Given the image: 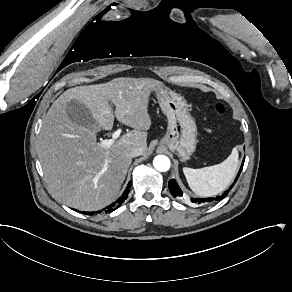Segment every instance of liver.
<instances>
[{
	"label": "liver",
	"instance_id": "obj_1",
	"mask_svg": "<svg viewBox=\"0 0 292 292\" xmlns=\"http://www.w3.org/2000/svg\"><path fill=\"white\" fill-rule=\"evenodd\" d=\"M159 84L151 78L120 77L68 89L54 101L42 121L38 143V157L53 197L81 211H98L115 200L132 162V149L141 147L147 153L148 98ZM71 99L90 110L98 129L111 130L115 114L134 130L104 147L96 142L98 129L72 123L65 112ZM109 102L116 107L114 113Z\"/></svg>",
	"mask_w": 292,
	"mask_h": 292
}]
</instances>
